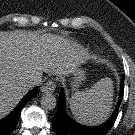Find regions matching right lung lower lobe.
Returning a JSON list of instances; mask_svg holds the SVG:
<instances>
[{
    "label": "right lung lower lobe",
    "mask_w": 135,
    "mask_h": 135,
    "mask_svg": "<svg viewBox=\"0 0 135 135\" xmlns=\"http://www.w3.org/2000/svg\"><path fill=\"white\" fill-rule=\"evenodd\" d=\"M36 94L37 87L26 94L17 107L6 118L0 120V135H9L14 130L18 123L22 108L27 102L35 97Z\"/></svg>",
    "instance_id": "1"
}]
</instances>
